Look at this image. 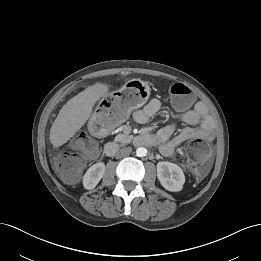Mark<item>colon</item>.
<instances>
[{"mask_svg": "<svg viewBox=\"0 0 261 261\" xmlns=\"http://www.w3.org/2000/svg\"><path fill=\"white\" fill-rule=\"evenodd\" d=\"M170 94L173 102L180 108H186L192 101L191 90L182 83H175L170 87ZM111 105H117L119 97L112 96L107 98ZM123 110L108 116L102 114L95 120L94 126L100 129L102 134L108 132L110 127L124 119ZM98 150L97 140L87 132H81L72 142V151L64 152L55 158L54 166L61 178L67 184H73L79 178L87 158L95 156ZM191 160L198 161L207 159L209 147L202 140L196 139L191 141L187 148Z\"/></svg>", "mask_w": 261, "mask_h": 261, "instance_id": "obj_1", "label": "colon"}]
</instances>
